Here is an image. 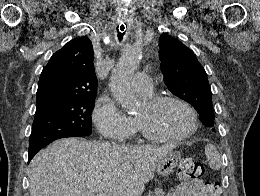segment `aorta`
<instances>
[{
  "label": "aorta",
  "mask_w": 260,
  "mask_h": 196,
  "mask_svg": "<svg viewBox=\"0 0 260 196\" xmlns=\"http://www.w3.org/2000/svg\"><path fill=\"white\" fill-rule=\"evenodd\" d=\"M141 58L140 49L129 48L125 50L112 70L109 83L115 101L129 112L135 110L137 106V97L131 89L130 82Z\"/></svg>",
  "instance_id": "1"
}]
</instances>
